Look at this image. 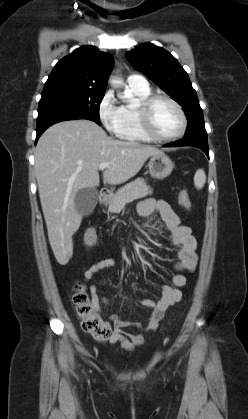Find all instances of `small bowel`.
<instances>
[{"instance_id": "1", "label": "small bowel", "mask_w": 248, "mask_h": 419, "mask_svg": "<svg viewBox=\"0 0 248 419\" xmlns=\"http://www.w3.org/2000/svg\"><path fill=\"white\" fill-rule=\"evenodd\" d=\"M158 213L162 218L165 226L170 234L171 240L178 248V262L175 264V273L172 277L171 285H165L162 288L161 296L157 301L150 299H142L139 304L151 309V314L144 323L136 324V327L143 333H126L125 328L130 322L121 319L116 315H111L110 320L114 325V330L108 339L110 344H119L127 351L134 350L145 341V334L154 331L165 311L172 305L178 303L182 299L181 289L186 285V277L184 272H193L196 268L198 257L196 254L197 242L192 235L191 228L183 224L179 216L174 212L171 206L163 201L148 198L141 201L138 205V213L140 216H149L152 213ZM115 265L113 258H105L93 263L84 273V283L82 285L85 291L89 290L96 304H106V298H100L97 295V287L88 285L101 270Z\"/></svg>"}]
</instances>
